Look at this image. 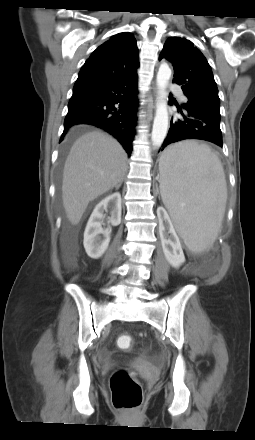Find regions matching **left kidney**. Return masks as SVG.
Returning <instances> with one entry per match:
<instances>
[{"instance_id": "1", "label": "left kidney", "mask_w": 255, "mask_h": 440, "mask_svg": "<svg viewBox=\"0 0 255 440\" xmlns=\"http://www.w3.org/2000/svg\"><path fill=\"white\" fill-rule=\"evenodd\" d=\"M157 214L160 219L159 231L164 255L172 267L178 268L185 262L179 237L166 210L159 207Z\"/></svg>"}]
</instances>
